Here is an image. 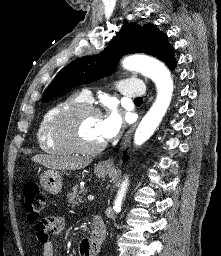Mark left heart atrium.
Listing matches in <instances>:
<instances>
[{
	"mask_svg": "<svg viewBox=\"0 0 221 256\" xmlns=\"http://www.w3.org/2000/svg\"><path fill=\"white\" fill-rule=\"evenodd\" d=\"M123 124V116L115 107H110L107 113L100 119L99 133L102 140L114 138L122 129Z\"/></svg>",
	"mask_w": 221,
	"mask_h": 256,
	"instance_id": "1",
	"label": "left heart atrium"
}]
</instances>
